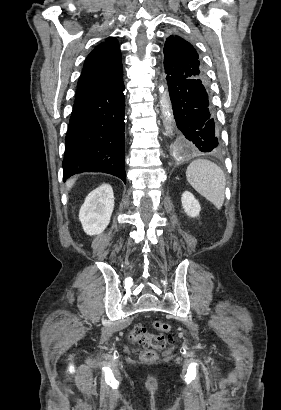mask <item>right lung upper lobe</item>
I'll return each mask as SVG.
<instances>
[{
    "label": "right lung upper lobe",
    "mask_w": 281,
    "mask_h": 410,
    "mask_svg": "<svg viewBox=\"0 0 281 410\" xmlns=\"http://www.w3.org/2000/svg\"><path fill=\"white\" fill-rule=\"evenodd\" d=\"M123 81L122 58L118 41L108 37L86 58L78 80L76 99L111 89Z\"/></svg>",
    "instance_id": "cb5924a9"
}]
</instances>
